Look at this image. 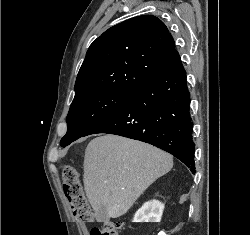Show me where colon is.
<instances>
[{
    "label": "colon",
    "mask_w": 250,
    "mask_h": 235,
    "mask_svg": "<svg viewBox=\"0 0 250 235\" xmlns=\"http://www.w3.org/2000/svg\"><path fill=\"white\" fill-rule=\"evenodd\" d=\"M63 190L70 204L74 218L90 225L94 222V217L87 202L80 182L78 170L70 165L62 169ZM121 223L117 221H107L100 226H93L90 229L91 235H120Z\"/></svg>",
    "instance_id": "colon-1"
}]
</instances>
